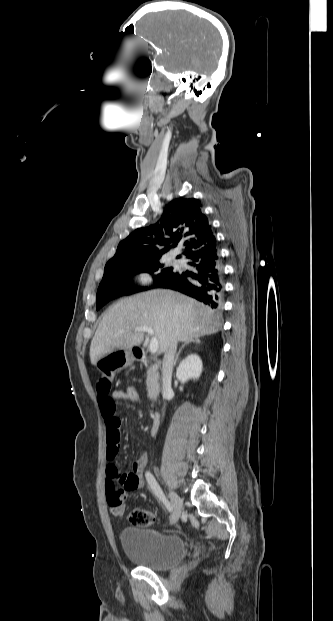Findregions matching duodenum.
Returning a JSON list of instances; mask_svg holds the SVG:
<instances>
[{
	"label": "duodenum",
	"instance_id": "obj_1",
	"mask_svg": "<svg viewBox=\"0 0 333 621\" xmlns=\"http://www.w3.org/2000/svg\"><path fill=\"white\" fill-rule=\"evenodd\" d=\"M134 356L140 362H148L149 361L148 355L144 351H142V350H139V349L135 350L134 351ZM152 363L154 364L155 367H159V364H160L159 361L154 360V361H152ZM159 426H160L159 420L156 419L153 422L152 427H151V434L152 435H156V433L159 430Z\"/></svg>",
	"mask_w": 333,
	"mask_h": 621
}]
</instances>
